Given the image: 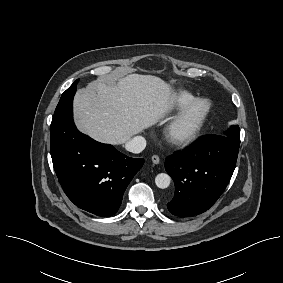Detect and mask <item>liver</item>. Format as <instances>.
<instances>
[{
	"label": "liver",
	"instance_id": "1",
	"mask_svg": "<svg viewBox=\"0 0 283 283\" xmlns=\"http://www.w3.org/2000/svg\"><path fill=\"white\" fill-rule=\"evenodd\" d=\"M174 100L172 87L156 76L97 80L77 91L74 119L78 129L93 139L121 145L164 118Z\"/></svg>",
	"mask_w": 283,
	"mask_h": 283
}]
</instances>
